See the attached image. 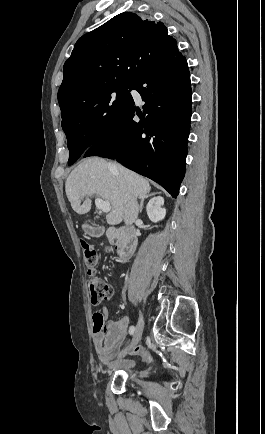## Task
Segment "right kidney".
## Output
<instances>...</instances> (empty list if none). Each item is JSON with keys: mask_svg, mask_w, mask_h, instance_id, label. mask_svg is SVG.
Returning a JSON list of instances; mask_svg holds the SVG:
<instances>
[{"mask_svg": "<svg viewBox=\"0 0 265 434\" xmlns=\"http://www.w3.org/2000/svg\"><path fill=\"white\" fill-rule=\"evenodd\" d=\"M163 204L164 198H161V196H156V198L149 200L146 206V212L151 222H160V220L165 218L166 210L165 208H162Z\"/></svg>", "mask_w": 265, "mask_h": 434, "instance_id": "right-kidney-1", "label": "right kidney"}]
</instances>
